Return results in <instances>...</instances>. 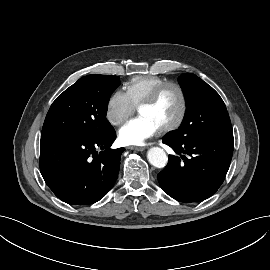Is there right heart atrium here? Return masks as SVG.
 <instances>
[{
    "label": "right heart atrium",
    "instance_id": "right-heart-atrium-1",
    "mask_svg": "<svg viewBox=\"0 0 270 270\" xmlns=\"http://www.w3.org/2000/svg\"><path fill=\"white\" fill-rule=\"evenodd\" d=\"M136 106L125 91L115 90L107 100L105 117L113 126L122 124L135 111Z\"/></svg>",
    "mask_w": 270,
    "mask_h": 270
}]
</instances>
